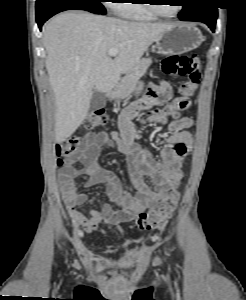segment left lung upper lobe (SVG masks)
Masks as SVG:
<instances>
[{
  "label": "left lung upper lobe",
  "instance_id": "obj_1",
  "mask_svg": "<svg viewBox=\"0 0 246 300\" xmlns=\"http://www.w3.org/2000/svg\"><path fill=\"white\" fill-rule=\"evenodd\" d=\"M204 1H208L211 3L213 2L212 0H187L186 2L188 4L183 6V9L179 14H182V13L192 10L194 7H196L197 5L201 4Z\"/></svg>",
  "mask_w": 246,
  "mask_h": 300
}]
</instances>
